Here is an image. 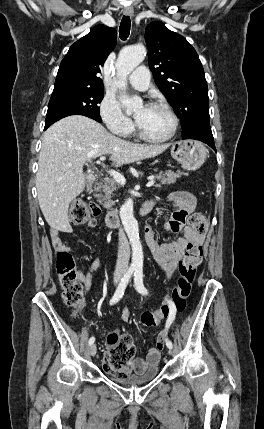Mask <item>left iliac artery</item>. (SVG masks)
Instances as JSON below:
<instances>
[{"label": "left iliac artery", "instance_id": "left-iliac-artery-1", "mask_svg": "<svg viewBox=\"0 0 264 429\" xmlns=\"http://www.w3.org/2000/svg\"><path fill=\"white\" fill-rule=\"evenodd\" d=\"M134 283H135L136 290L139 293L144 294V295H146L148 293L147 289L145 288V286L143 284V270H142V268H137L135 270ZM168 303L170 305V315L166 321V325H165L166 330H168V328L170 327V325L174 321L175 315H176V310L174 308L173 302H171L169 300ZM166 346L170 349H172V347H173L172 342L168 338L166 339Z\"/></svg>", "mask_w": 264, "mask_h": 429}]
</instances>
